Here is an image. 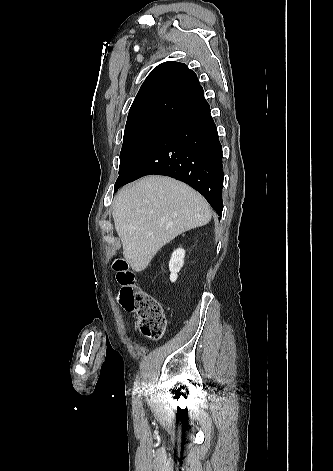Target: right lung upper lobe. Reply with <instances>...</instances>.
<instances>
[{"instance_id":"right-lung-upper-lobe-1","label":"right lung upper lobe","mask_w":333,"mask_h":471,"mask_svg":"<svg viewBox=\"0 0 333 471\" xmlns=\"http://www.w3.org/2000/svg\"><path fill=\"white\" fill-rule=\"evenodd\" d=\"M204 98L196 74L185 64L158 65L142 84L128 117L160 115L177 119Z\"/></svg>"}]
</instances>
